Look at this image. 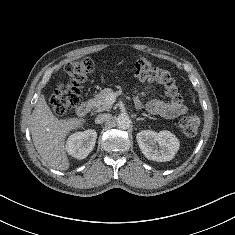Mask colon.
I'll return each mask as SVG.
<instances>
[{
	"label": "colon",
	"mask_w": 235,
	"mask_h": 235,
	"mask_svg": "<svg viewBox=\"0 0 235 235\" xmlns=\"http://www.w3.org/2000/svg\"><path fill=\"white\" fill-rule=\"evenodd\" d=\"M94 68V61L88 57L65 65V72L70 79L66 84L60 85L49 97L54 114L64 115L79 102L82 83ZM133 70L137 79L161 86L173 101L182 102V97L177 92L174 80L168 71L153 65L144 58L135 62ZM179 124L187 136H195L199 129L200 119L196 114H187L181 117Z\"/></svg>",
	"instance_id": "1"
}]
</instances>
